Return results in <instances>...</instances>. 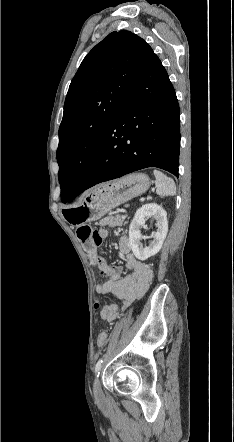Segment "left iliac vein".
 I'll list each match as a JSON object with an SVG mask.
<instances>
[{"instance_id":"4c4485c4","label":"left iliac vein","mask_w":234,"mask_h":442,"mask_svg":"<svg viewBox=\"0 0 234 442\" xmlns=\"http://www.w3.org/2000/svg\"><path fill=\"white\" fill-rule=\"evenodd\" d=\"M93 391H94L95 400L97 402L102 401L103 398H104V394L102 392L101 385H100V380H99L98 377L94 381Z\"/></svg>"}]
</instances>
